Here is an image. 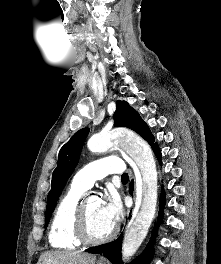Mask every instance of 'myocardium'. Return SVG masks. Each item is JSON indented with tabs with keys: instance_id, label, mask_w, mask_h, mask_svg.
<instances>
[{
	"instance_id": "1",
	"label": "myocardium",
	"mask_w": 221,
	"mask_h": 264,
	"mask_svg": "<svg viewBox=\"0 0 221 264\" xmlns=\"http://www.w3.org/2000/svg\"><path fill=\"white\" fill-rule=\"evenodd\" d=\"M90 198H97L95 196L83 195L80 201L78 202L73 218V231L77 240L86 245H99L111 240L116 234V226L113 225L110 232L101 238H93L89 234L87 227V218H86V205Z\"/></svg>"
}]
</instances>
